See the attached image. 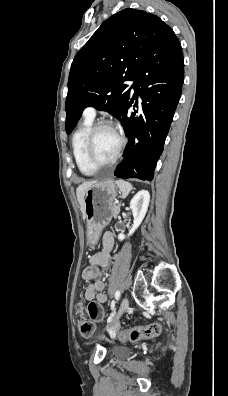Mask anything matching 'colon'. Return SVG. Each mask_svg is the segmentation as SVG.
I'll list each match as a JSON object with an SVG mask.
<instances>
[{"mask_svg": "<svg viewBox=\"0 0 228 396\" xmlns=\"http://www.w3.org/2000/svg\"><path fill=\"white\" fill-rule=\"evenodd\" d=\"M88 315L90 320L81 319L79 322V331L82 337L88 338L94 332V325L92 321H101L104 317V312L100 304L90 303L88 305ZM81 313V307H79ZM161 327L158 323H152L146 326H138L128 330H121L118 337L122 341H137L142 338L157 336L160 333Z\"/></svg>", "mask_w": 228, "mask_h": 396, "instance_id": "5ec220e1", "label": "colon"}]
</instances>
